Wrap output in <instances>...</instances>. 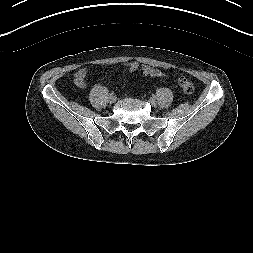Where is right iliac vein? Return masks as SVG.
I'll return each mask as SVG.
<instances>
[{
  "label": "right iliac vein",
  "mask_w": 253,
  "mask_h": 253,
  "mask_svg": "<svg viewBox=\"0 0 253 253\" xmlns=\"http://www.w3.org/2000/svg\"><path fill=\"white\" fill-rule=\"evenodd\" d=\"M116 100H117V98H116V96H114V95L109 97V102H110V103H115Z\"/></svg>",
  "instance_id": "obj_1"
}]
</instances>
